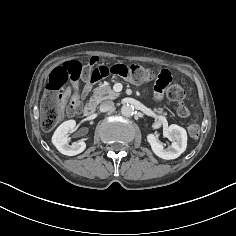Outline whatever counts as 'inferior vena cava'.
Listing matches in <instances>:
<instances>
[{
    "label": "inferior vena cava",
    "instance_id": "602c4592",
    "mask_svg": "<svg viewBox=\"0 0 236 236\" xmlns=\"http://www.w3.org/2000/svg\"><path fill=\"white\" fill-rule=\"evenodd\" d=\"M113 107H114V102L107 100V101H104L103 103H101L100 111L107 112V111L111 110Z\"/></svg>",
    "mask_w": 236,
    "mask_h": 236
}]
</instances>
